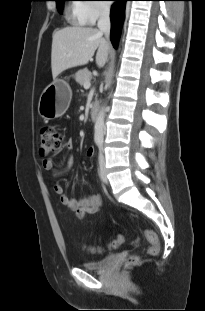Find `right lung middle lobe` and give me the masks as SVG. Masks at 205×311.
I'll return each mask as SVG.
<instances>
[{
  "mask_svg": "<svg viewBox=\"0 0 205 311\" xmlns=\"http://www.w3.org/2000/svg\"><path fill=\"white\" fill-rule=\"evenodd\" d=\"M55 1H56V6H57L59 13L62 14L64 1H67V0H55Z\"/></svg>",
  "mask_w": 205,
  "mask_h": 311,
  "instance_id": "1",
  "label": "right lung middle lobe"
}]
</instances>
